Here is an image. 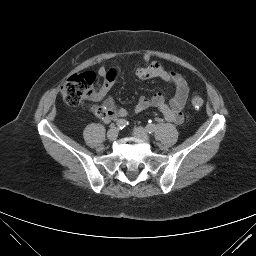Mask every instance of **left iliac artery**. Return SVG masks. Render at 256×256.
I'll return each instance as SVG.
<instances>
[{"label":"left iliac artery","instance_id":"left-iliac-artery-1","mask_svg":"<svg viewBox=\"0 0 256 256\" xmlns=\"http://www.w3.org/2000/svg\"><path fill=\"white\" fill-rule=\"evenodd\" d=\"M156 129V126L155 124H148L146 126V131L149 133V134H152Z\"/></svg>","mask_w":256,"mask_h":256}]
</instances>
